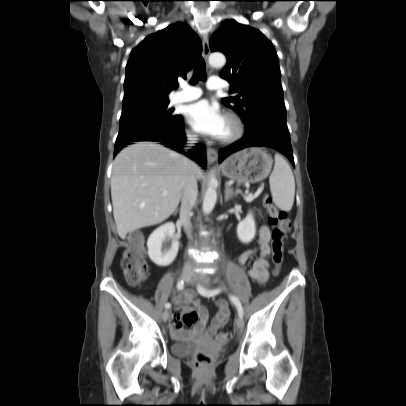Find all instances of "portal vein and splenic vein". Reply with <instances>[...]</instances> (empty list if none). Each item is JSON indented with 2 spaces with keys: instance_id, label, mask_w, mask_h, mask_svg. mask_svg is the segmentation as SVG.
<instances>
[{
  "instance_id": "1",
  "label": "portal vein and splenic vein",
  "mask_w": 406,
  "mask_h": 406,
  "mask_svg": "<svg viewBox=\"0 0 406 406\" xmlns=\"http://www.w3.org/2000/svg\"><path fill=\"white\" fill-rule=\"evenodd\" d=\"M239 192H240V191H239ZM163 195L166 196V195H167V191H163ZM254 198H256V195H252V194H249L248 196L245 197V199H246L247 201H252Z\"/></svg>"
}]
</instances>
